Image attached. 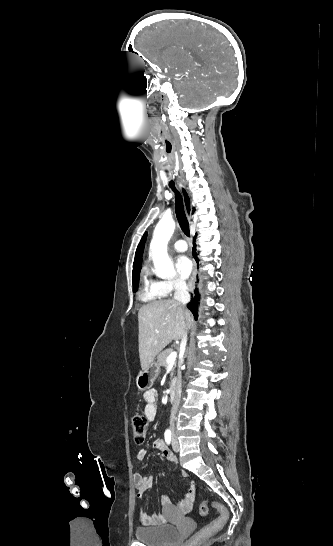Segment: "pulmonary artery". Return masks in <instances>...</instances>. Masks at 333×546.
Masks as SVG:
<instances>
[{
    "label": "pulmonary artery",
    "mask_w": 333,
    "mask_h": 546,
    "mask_svg": "<svg viewBox=\"0 0 333 546\" xmlns=\"http://www.w3.org/2000/svg\"><path fill=\"white\" fill-rule=\"evenodd\" d=\"M173 248L177 252H184L187 250V244L184 240H177L173 243Z\"/></svg>",
    "instance_id": "e3ab8cb5"
}]
</instances>
